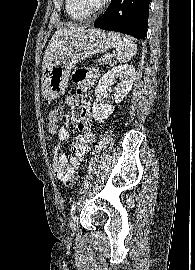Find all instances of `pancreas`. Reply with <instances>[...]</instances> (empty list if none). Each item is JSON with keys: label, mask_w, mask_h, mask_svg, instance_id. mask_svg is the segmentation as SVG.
Instances as JSON below:
<instances>
[{"label": "pancreas", "mask_w": 195, "mask_h": 270, "mask_svg": "<svg viewBox=\"0 0 195 270\" xmlns=\"http://www.w3.org/2000/svg\"><path fill=\"white\" fill-rule=\"evenodd\" d=\"M100 64L101 65H109V64H111V62H112V60H111V58H108L106 55H104L103 57H101L100 58Z\"/></svg>", "instance_id": "obj_1"}]
</instances>
